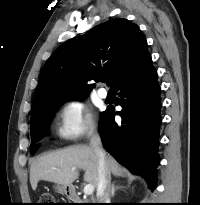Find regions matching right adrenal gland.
Instances as JSON below:
<instances>
[{
	"label": "right adrenal gland",
	"instance_id": "2a0ac1e0",
	"mask_svg": "<svg viewBox=\"0 0 200 205\" xmlns=\"http://www.w3.org/2000/svg\"><path fill=\"white\" fill-rule=\"evenodd\" d=\"M120 188H124V187H120V186H115L114 182L110 185V189H111V197H114L115 195V191L117 189H120Z\"/></svg>",
	"mask_w": 200,
	"mask_h": 205
}]
</instances>
